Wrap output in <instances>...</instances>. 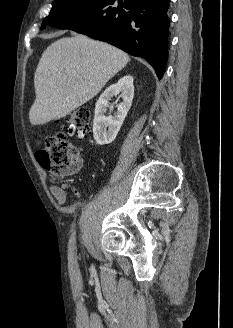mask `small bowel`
<instances>
[{"mask_svg": "<svg viewBox=\"0 0 233 328\" xmlns=\"http://www.w3.org/2000/svg\"><path fill=\"white\" fill-rule=\"evenodd\" d=\"M51 193L60 205H63L66 202V193L62 188L53 187L51 188Z\"/></svg>", "mask_w": 233, "mask_h": 328, "instance_id": "1", "label": "small bowel"}]
</instances>
